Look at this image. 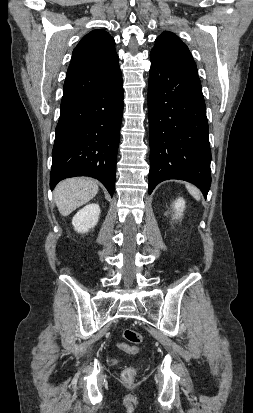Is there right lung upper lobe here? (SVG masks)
Instances as JSON below:
<instances>
[{
	"label": "right lung upper lobe",
	"instance_id": "obj_1",
	"mask_svg": "<svg viewBox=\"0 0 253 413\" xmlns=\"http://www.w3.org/2000/svg\"><path fill=\"white\" fill-rule=\"evenodd\" d=\"M119 71V58L113 37L102 29L91 31L73 51L61 104L102 87Z\"/></svg>",
	"mask_w": 253,
	"mask_h": 413
}]
</instances>
